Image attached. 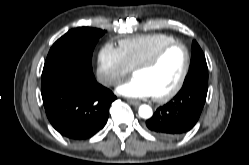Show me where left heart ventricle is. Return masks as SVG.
<instances>
[{"label":"left heart ventricle","mask_w":249,"mask_h":165,"mask_svg":"<svg viewBox=\"0 0 249 165\" xmlns=\"http://www.w3.org/2000/svg\"><path fill=\"white\" fill-rule=\"evenodd\" d=\"M184 64V50L176 46L168 50L155 66L138 71L134 75L146 82L154 96L162 95L175 86Z\"/></svg>","instance_id":"obj_1"}]
</instances>
